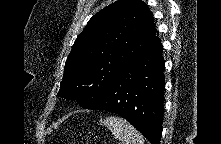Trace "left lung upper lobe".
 Listing matches in <instances>:
<instances>
[{
	"mask_svg": "<svg viewBox=\"0 0 221 144\" xmlns=\"http://www.w3.org/2000/svg\"><path fill=\"white\" fill-rule=\"evenodd\" d=\"M154 36L152 13L143 1L118 0L105 7L77 37L58 96L90 108Z\"/></svg>",
	"mask_w": 221,
	"mask_h": 144,
	"instance_id": "5c2ea615",
	"label": "left lung upper lobe"
}]
</instances>
